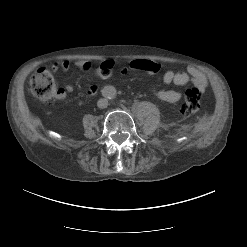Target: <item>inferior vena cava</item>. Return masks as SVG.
Instances as JSON below:
<instances>
[{"label":"inferior vena cava","mask_w":247,"mask_h":247,"mask_svg":"<svg viewBox=\"0 0 247 247\" xmlns=\"http://www.w3.org/2000/svg\"><path fill=\"white\" fill-rule=\"evenodd\" d=\"M97 106L100 109L106 108L108 106V100L107 99H104V98L99 99L98 102H97Z\"/></svg>","instance_id":"1"}]
</instances>
